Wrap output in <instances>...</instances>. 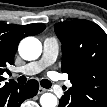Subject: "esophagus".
Masks as SVG:
<instances>
[{
  "label": "esophagus",
  "instance_id": "1",
  "mask_svg": "<svg viewBox=\"0 0 107 107\" xmlns=\"http://www.w3.org/2000/svg\"><path fill=\"white\" fill-rule=\"evenodd\" d=\"M46 91H47V89H45V88H43V87H39L38 93H39V94H42V93H44V92H46Z\"/></svg>",
  "mask_w": 107,
  "mask_h": 107
}]
</instances>
